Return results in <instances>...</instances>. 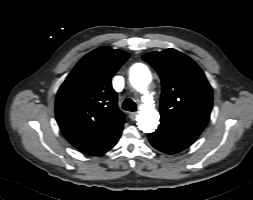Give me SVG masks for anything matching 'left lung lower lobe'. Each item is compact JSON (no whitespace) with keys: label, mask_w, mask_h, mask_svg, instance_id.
<instances>
[{"label":"left lung lower lobe","mask_w":253,"mask_h":200,"mask_svg":"<svg viewBox=\"0 0 253 200\" xmlns=\"http://www.w3.org/2000/svg\"><path fill=\"white\" fill-rule=\"evenodd\" d=\"M200 131L161 120L158 129L148 135L151 145L166 154H176L194 143Z\"/></svg>","instance_id":"0a47b994"}]
</instances>
